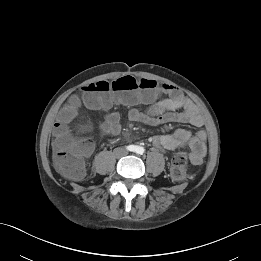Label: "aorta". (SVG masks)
<instances>
[{
    "label": "aorta",
    "instance_id": "762f6f07",
    "mask_svg": "<svg viewBox=\"0 0 261 261\" xmlns=\"http://www.w3.org/2000/svg\"><path fill=\"white\" fill-rule=\"evenodd\" d=\"M139 149H140L141 151H143L142 147H139Z\"/></svg>",
    "mask_w": 261,
    "mask_h": 261
}]
</instances>
